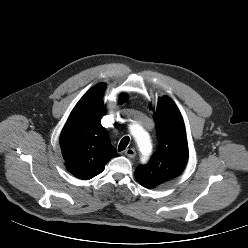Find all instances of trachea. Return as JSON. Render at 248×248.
I'll return each instance as SVG.
<instances>
[{"label": "trachea", "instance_id": "trachea-1", "mask_svg": "<svg viewBox=\"0 0 248 248\" xmlns=\"http://www.w3.org/2000/svg\"><path fill=\"white\" fill-rule=\"evenodd\" d=\"M129 141H130V138L128 136H125L124 138H122V140L120 141L119 143V146H118V150L119 151H123L125 150V148L128 146L129 144Z\"/></svg>", "mask_w": 248, "mask_h": 248}]
</instances>
